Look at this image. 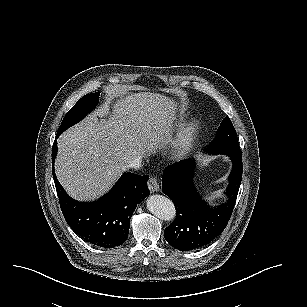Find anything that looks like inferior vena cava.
<instances>
[{
  "label": "inferior vena cava",
  "mask_w": 307,
  "mask_h": 307,
  "mask_svg": "<svg viewBox=\"0 0 307 307\" xmlns=\"http://www.w3.org/2000/svg\"><path fill=\"white\" fill-rule=\"evenodd\" d=\"M140 167V159L138 157L134 158L131 163L127 165V169H137Z\"/></svg>",
  "instance_id": "602c4592"
}]
</instances>
